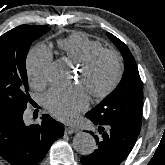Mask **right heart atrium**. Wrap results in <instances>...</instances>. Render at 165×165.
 Here are the masks:
<instances>
[{
  "mask_svg": "<svg viewBox=\"0 0 165 165\" xmlns=\"http://www.w3.org/2000/svg\"><path fill=\"white\" fill-rule=\"evenodd\" d=\"M51 60L52 54L44 45L35 46L30 51L27 58V73L33 85L38 86L46 82Z\"/></svg>",
  "mask_w": 165,
  "mask_h": 165,
  "instance_id": "d8ad5b80",
  "label": "right heart atrium"
}]
</instances>
